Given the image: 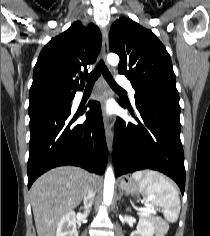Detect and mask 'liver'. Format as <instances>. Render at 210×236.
I'll use <instances>...</instances> for the list:
<instances>
[{
  "instance_id": "1",
  "label": "liver",
  "mask_w": 210,
  "mask_h": 236,
  "mask_svg": "<svg viewBox=\"0 0 210 236\" xmlns=\"http://www.w3.org/2000/svg\"><path fill=\"white\" fill-rule=\"evenodd\" d=\"M94 179L96 176L79 167L63 166L33 183L30 196L38 236H55L60 219L81 203Z\"/></svg>"
}]
</instances>
